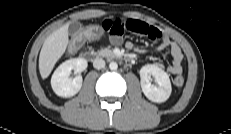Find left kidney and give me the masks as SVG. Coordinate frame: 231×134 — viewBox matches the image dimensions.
Returning <instances> with one entry per match:
<instances>
[{
    "label": "left kidney",
    "mask_w": 231,
    "mask_h": 134,
    "mask_svg": "<svg viewBox=\"0 0 231 134\" xmlns=\"http://www.w3.org/2000/svg\"><path fill=\"white\" fill-rule=\"evenodd\" d=\"M157 85L151 83L152 78ZM140 84L144 95L155 103L165 102L171 95L172 87L168 74L155 64H147L140 69Z\"/></svg>",
    "instance_id": "obj_1"
}]
</instances>
